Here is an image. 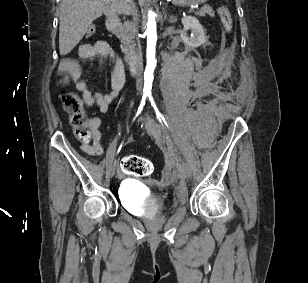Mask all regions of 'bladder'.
<instances>
[{
    "label": "bladder",
    "mask_w": 308,
    "mask_h": 283,
    "mask_svg": "<svg viewBox=\"0 0 308 283\" xmlns=\"http://www.w3.org/2000/svg\"><path fill=\"white\" fill-rule=\"evenodd\" d=\"M120 185H121L120 186L121 197H123V199L127 201L129 204L136 207V203L133 200V195L136 188L132 184L126 183L124 181L121 182Z\"/></svg>",
    "instance_id": "bladder-1"
}]
</instances>
